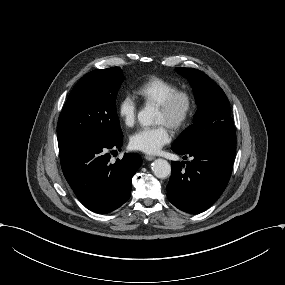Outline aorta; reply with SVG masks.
Returning <instances> with one entry per match:
<instances>
[{
	"instance_id": "762f6f07",
	"label": "aorta",
	"mask_w": 285,
	"mask_h": 285,
	"mask_svg": "<svg viewBox=\"0 0 285 285\" xmlns=\"http://www.w3.org/2000/svg\"><path fill=\"white\" fill-rule=\"evenodd\" d=\"M156 110L151 107H145L138 113V120L144 126L155 124ZM152 171L157 178L165 179L171 174V166L164 159H156L152 163Z\"/></svg>"
}]
</instances>
